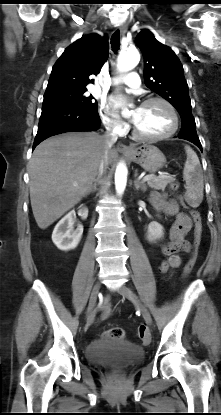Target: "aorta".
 <instances>
[{
	"label": "aorta",
	"instance_id": "aorta-1",
	"mask_svg": "<svg viewBox=\"0 0 221 415\" xmlns=\"http://www.w3.org/2000/svg\"><path fill=\"white\" fill-rule=\"evenodd\" d=\"M140 61V54L137 50L122 51L118 56L117 67L121 72H127L135 68ZM127 183V167L119 163L115 172L116 193L121 196L124 193Z\"/></svg>",
	"mask_w": 221,
	"mask_h": 415
}]
</instances>
